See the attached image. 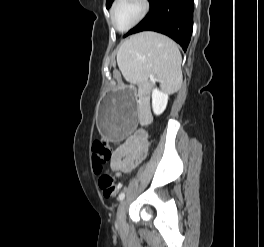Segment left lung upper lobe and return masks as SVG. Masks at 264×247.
Returning <instances> with one entry per match:
<instances>
[{"mask_svg":"<svg viewBox=\"0 0 264 247\" xmlns=\"http://www.w3.org/2000/svg\"><path fill=\"white\" fill-rule=\"evenodd\" d=\"M113 0H106V8L108 9L111 4H112Z\"/></svg>","mask_w":264,"mask_h":247,"instance_id":"5c2ea615","label":"left lung upper lobe"}]
</instances>
